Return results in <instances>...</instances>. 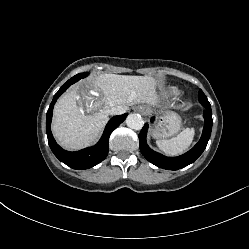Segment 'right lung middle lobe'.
<instances>
[{"instance_id":"obj_1","label":"right lung middle lobe","mask_w":249,"mask_h":249,"mask_svg":"<svg viewBox=\"0 0 249 249\" xmlns=\"http://www.w3.org/2000/svg\"><path fill=\"white\" fill-rule=\"evenodd\" d=\"M81 76L86 77L88 74L87 73H80Z\"/></svg>"}]
</instances>
